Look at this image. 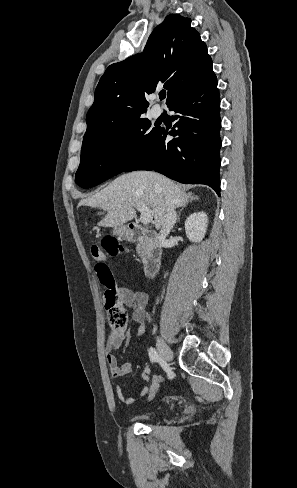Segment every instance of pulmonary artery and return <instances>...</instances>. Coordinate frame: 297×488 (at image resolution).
Returning <instances> with one entry per match:
<instances>
[{
    "mask_svg": "<svg viewBox=\"0 0 297 488\" xmlns=\"http://www.w3.org/2000/svg\"><path fill=\"white\" fill-rule=\"evenodd\" d=\"M161 114V109L157 106H155L153 109H152V115L157 118L159 117Z\"/></svg>",
    "mask_w": 297,
    "mask_h": 488,
    "instance_id": "1",
    "label": "pulmonary artery"
}]
</instances>
